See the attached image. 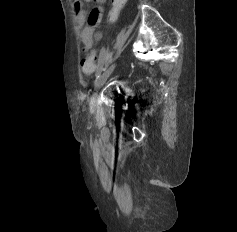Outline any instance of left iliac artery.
Returning a JSON list of instances; mask_svg holds the SVG:
<instances>
[{"label":"left iliac artery","mask_w":237,"mask_h":232,"mask_svg":"<svg viewBox=\"0 0 237 232\" xmlns=\"http://www.w3.org/2000/svg\"><path fill=\"white\" fill-rule=\"evenodd\" d=\"M104 60H105V47H102L99 59H98V68L96 71V77L98 78L101 74V72L104 70Z\"/></svg>","instance_id":"left-iliac-artery-1"}]
</instances>
